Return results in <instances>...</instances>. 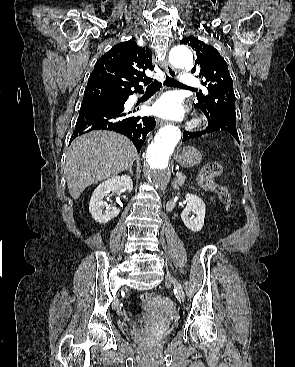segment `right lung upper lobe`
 Listing matches in <instances>:
<instances>
[{
	"mask_svg": "<svg viewBox=\"0 0 295 367\" xmlns=\"http://www.w3.org/2000/svg\"><path fill=\"white\" fill-rule=\"evenodd\" d=\"M153 69L151 52L129 40L102 56L92 71L86 89L101 88L120 96L141 93L140 82L149 83L145 70Z\"/></svg>",
	"mask_w": 295,
	"mask_h": 367,
	"instance_id": "1",
	"label": "right lung upper lobe"
}]
</instances>
